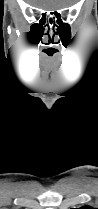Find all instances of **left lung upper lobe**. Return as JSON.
Here are the masks:
<instances>
[{"instance_id": "5c2ea615", "label": "left lung upper lobe", "mask_w": 98, "mask_h": 209, "mask_svg": "<svg viewBox=\"0 0 98 209\" xmlns=\"http://www.w3.org/2000/svg\"><path fill=\"white\" fill-rule=\"evenodd\" d=\"M70 209H73V208H70ZM78 209H93V208L89 207V206H85V207H81V208H78Z\"/></svg>"}]
</instances>
